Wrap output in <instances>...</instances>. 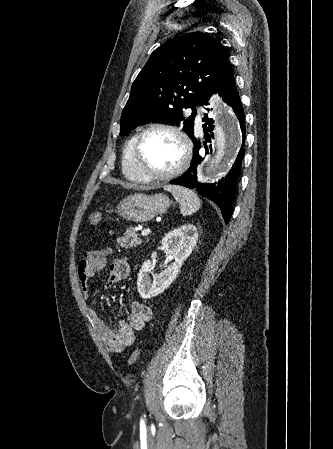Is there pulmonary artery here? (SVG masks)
I'll return each instance as SVG.
<instances>
[{
  "instance_id": "1",
  "label": "pulmonary artery",
  "mask_w": 333,
  "mask_h": 449,
  "mask_svg": "<svg viewBox=\"0 0 333 449\" xmlns=\"http://www.w3.org/2000/svg\"><path fill=\"white\" fill-rule=\"evenodd\" d=\"M197 125H198V127L201 126V120L199 118L197 119Z\"/></svg>"
}]
</instances>
